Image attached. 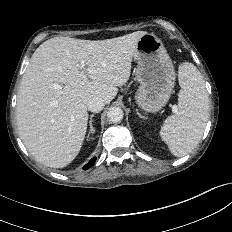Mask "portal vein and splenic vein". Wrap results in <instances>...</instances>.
Instances as JSON below:
<instances>
[{
  "label": "portal vein and splenic vein",
  "mask_w": 232,
  "mask_h": 232,
  "mask_svg": "<svg viewBox=\"0 0 232 232\" xmlns=\"http://www.w3.org/2000/svg\"><path fill=\"white\" fill-rule=\"evenodd\" d=\"M80 68H81V69H85V66H84L83 63L80 64Z\"/></svg>",
  "instance_id": "obj_1"
}]
</instances>
